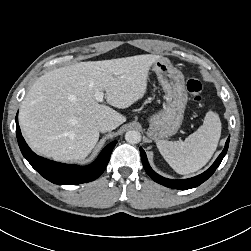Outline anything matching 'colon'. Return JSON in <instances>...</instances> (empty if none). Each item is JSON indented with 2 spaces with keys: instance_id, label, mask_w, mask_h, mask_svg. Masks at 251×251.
Segmentation results:
<instances>
[{
  "instance_id": "1",
  "label": "colon",
  "mask_w": 251,
  "mask_h": 251,
  "mask_svg": "<svg viewBox=\"0 0 251 251\" xmlns=\"http://www.w3.org/2000/svg\"><path fill=\"white\" fill-rule=\"evenodd\" d=\"M187 91L192 96L193 100L196 102L201 101L202 99V89L203 86L201 82L197 78H190L186 84Z\"/></svg>"
}]
</instances>
